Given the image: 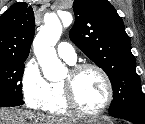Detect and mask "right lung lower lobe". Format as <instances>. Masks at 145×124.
Wrapping results in <instances>:
<instances>
[{"label": "right lung lower lobe", "instance_id": "1", "mask_svg": "<svg viewBox=\"0 0 145 124\" xmlns=\"http://www.w3.org/2000/svg\"><path fill=\"white\" fill-rule=\"evenodd\" d=\"M23 103V100H3L0 101V107L20 106Z\"/></svg>", "mask_w": 145, "mask_h": 124}]
</instances>
